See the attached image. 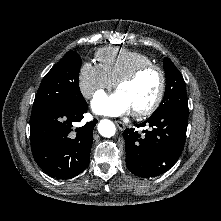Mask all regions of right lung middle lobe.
Segmentation results:
<instances>
[{
  "mask_svg": "<svg viewBox=\"0 0 221 221\" xmlns=\"http://www.w3.org/2000/svg\"><path fill=\"white\" fill-rule=\"evenodd\" d=\"M80 56L69 51L44 76L34 99L30 123L61 106H80L85 100L79 88Z\"/></svg>",
  "mask_w": 221,
  "mask_h": 221,
  "instance_id": "obj_1",
  "label": "right lung middle lobe"
}]
</instances>
